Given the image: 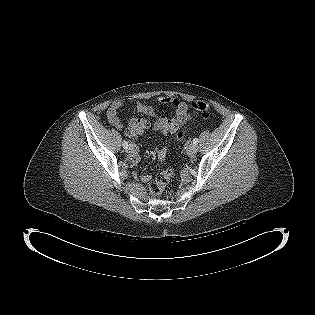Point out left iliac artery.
I'll use <instances>...</instances> for the list:
<instances>
[{
	"label": "left iliac artery",
	"mask_w": 315,
	"mask_h": 315,
	"mask_svg": "<svg viewBox=\"0 0 315 315\" xmlns=\"http://www.w3.org/2000/svg\"><path fill=\"white\" fill-rule=\"evenodd\" d=\"M198 142H199L198 138H194V139H193V143H194V144H198Z\"/></svg>",
	"instance_id": "obj_1"
}]
</instances>
